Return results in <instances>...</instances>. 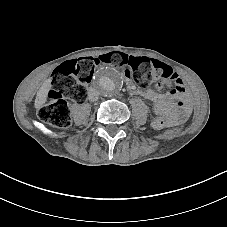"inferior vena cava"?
<instances>
[{
    "instance_id": "inferior-vena-cava-1",
    "label": "inferior vena cava",
    "mask_w": 227,
    "mask_h": 227,
    "mask_svg": "<svg viewBox=\"0 0 227 227\" xmlns=\"http://www.w3.org/2000/svg\"><path fill=\"white\" fill-rule=\"evenodd\" d=\"M99 98V93L94 88H89L88 90V99L91 102L97 101Z\"/></svg>"
}]
</instances>
